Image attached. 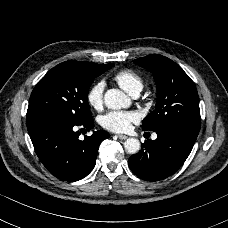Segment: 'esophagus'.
<instances>
[{
  "label": "esophagus",
  "mask_w": 228,
  "mask_h": 228,
  "mask_svg": "<svg viewBox=\"0 0 228 228\" xmlns=\"http://www.w3.org/2000/svg\"><path fill=\"white\" fill-rule=\"evenodd\" d=\"M118 138H119L120 140H125V139L128 138V136L123 135V134H119V135H118Z\"/></svg>",
  "instance_id": "34e87169"
}]
</instances>
